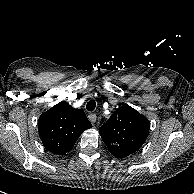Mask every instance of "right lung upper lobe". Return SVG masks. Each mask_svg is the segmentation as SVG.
<instances>
[{
    "instance_id": "cb5924a9",
    "label": "right lung upper lobe",
    "mask_w": 194,
    "mask_h": 194,
    "mask_svg": "<svg viewBox=\"0 0 194 194\" xmlns=\"http://www.w3.org/2000/svg\"><path fill=\"white\" fill-rule=\"evenodd\" d=\"M92 127L85 113L62 101L44 112L38 120V131L44 147L58 155L70 151L81 133Z\"/></svg>"
}]
</instances>
